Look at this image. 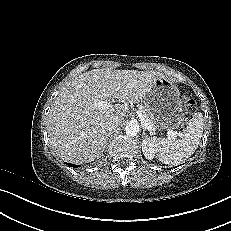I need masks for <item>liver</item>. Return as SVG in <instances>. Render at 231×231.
<instances>
[{
    "label": "liver",
    "instance_id": "liver-1",
    "mask_svg": "<svg viewBox=\"0 0 231 231\" xmlns=\"http://www.w3.org/2000/svg\"><path fill=\"white\" fill-rule=\"evenodd\" d=\"M165 78L155 71L94 69L79 75L58 94L47 119L49 144L60 158L75 164L93 162L102 156L108 139L106 125L123 120L125 108L109 104L105 109L94 101L118 99L142 102L151 85Z\"/></svg>",
    "mask_w": 231,
    "mask_h": 231
}]
</instances>
